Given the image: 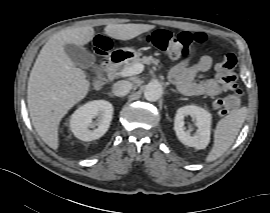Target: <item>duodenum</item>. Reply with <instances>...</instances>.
<instances>
[{
    "label": "duodenum",
    "instance_id": "410a0bca",
    "mask_svg": "<svg viewBox=\"0 0 270 213\" xmlns=\"http://www.w3.org/2000/svg\"><path fill=\"white\" fill-rule=\"evenodd\" d=\"M126 55L122 52L112 53L109 57L107 72L110 78H115L117 76L119 67L124 62Z\"/></svg>",
    "mask_w": 270,
    "mask_h": 213
}]
</instances>
